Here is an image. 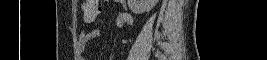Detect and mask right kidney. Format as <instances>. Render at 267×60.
Returning <instances> with one entry per match:
<instances>
[{
    "label": "right kidney",
    "mask_w": 267,
    "mask_h": 60,
    "mask_svg": "<svg viewBox=\"0 0 267 60\" xmlns=\"http://www.w3.org/2000/svg\"><path fill=\"white\" fill-rule=\"evenodd\" d=\"M128 7L134 14L149 12L158 0H128Z\"/></svg>",
    "instance_id": "1"
}]
</instances>
